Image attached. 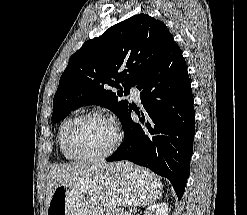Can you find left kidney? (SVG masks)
<instances>
[{"mask_svg": "<svg viewBox=\"0 0 247 215\" xmlns=\"http://www.w3.org/2000/svg\"><path fill=\"white\" fill-rule=\"evenodd\" d=\"M169 207L166 203L153 204L149 208L144 215H168Z\"/></svg>", "mask_w": 247, "mask_h": 215, "instance_id": "obj_1", "label": "left kidney"}]
</instances>
